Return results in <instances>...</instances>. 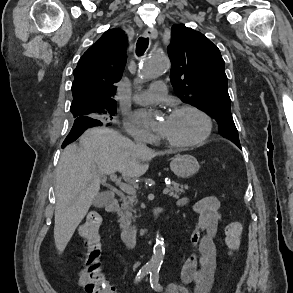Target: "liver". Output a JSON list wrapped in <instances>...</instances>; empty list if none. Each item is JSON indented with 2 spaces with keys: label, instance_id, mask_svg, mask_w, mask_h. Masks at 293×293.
<instances>
[{
  "label": "liver",
  "instance_id": "6515ba94",
  "mask_svg": "<svg viewBox=\"0 0 293 293\" xmlns=\"http://www.w3.org/2000/svg\"><path fill=\"white\" fill-rule=\"evenodd\" d=\"M137 146L117 131L105 127L86 130L79 145H68L56 170L55 245L63 252L76 228L99 194L101 178L120 172L135 178L148 170V162L158 155Z\"/></svg>",
  "mask_w": 293,
  "mask_h": 293
}]
</instances>
